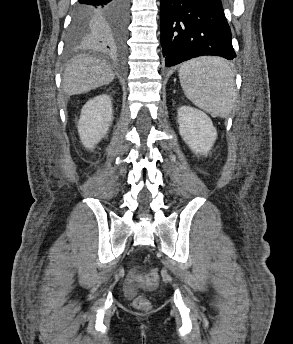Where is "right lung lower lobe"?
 <instances>
[{
    "label": "right lung lower lobe",
    "instance_id": "right-lung-lower-lobe-1",
    "mask_svg": "<svg viewBox=\"0 0 293 344\" xmlns=\"http://www.w3.org/2000/svg\"><path fill=\"white\" fill-rule=\"evenodd\" d=\"M76 11L92 20L89 45L120 52L127 35L129 0H78Z\"/></svg>",
    "mask_w": 293,
    "mask_h": 344
}]
</instances>
